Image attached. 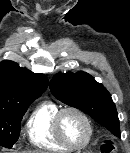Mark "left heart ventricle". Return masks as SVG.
<instances>
[{
	"instance_id": "left-heart-ventricle-1",
	"label": "left heart ventricle",
	"mask_w": 130,
	"mask_h": 153,
	"mask_svg": "<svg viewBox=\"0 0 130 153\" xmlns=\"http://www.w3.org/2000/svg\"><path fill=\"white\" fill-rule=\"evenodd\" d=\"M61 129L65 138L74 145L82 144L87 138V125L84 120L75 113L68 112L63 116Z\"/></svg>"
}]
</instances>
